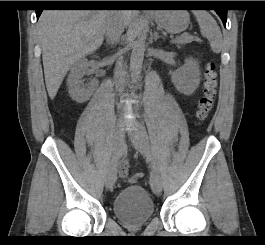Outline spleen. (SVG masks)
<instances>
[{"label":"spleen","mask_w":265,"mask_h":245,"mask_svg":"<svg viewBox=\"0 0 265 245\" xmlns=\"http://www.w3.org/2000/svg\"><path fill=\"white\" fill-rule=\"evenodd\" d=\"M193 14L198 21L201 34L209 40L213 52L220 53L223 49V39L215 19L204 10H195Z\"/></svg>","instance_id":"1"}]
</instances>
